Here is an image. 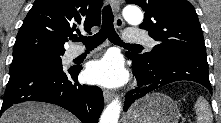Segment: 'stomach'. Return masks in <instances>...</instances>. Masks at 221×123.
I'll list each match as a JSON object with an SVG mask.
<instances>
[{
    "mask_svg": "<svg viewBox=\"0 0 221 123\" xmlns=\"http://www.w3.org/2000/svg\"><path fill=\"white\" fill-rule=\"evenodd\" d=\"M180 111L169 96L154 92L137 100L123 123H178Z\"/></svg>",
    "mask_w": 221,
    "mask_h": 123,
    "instance_id": "stomach-1",
    "label": "stomach"
}]
</instances>
